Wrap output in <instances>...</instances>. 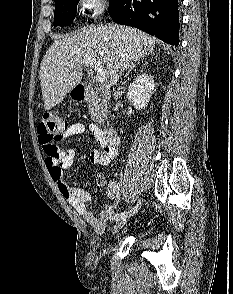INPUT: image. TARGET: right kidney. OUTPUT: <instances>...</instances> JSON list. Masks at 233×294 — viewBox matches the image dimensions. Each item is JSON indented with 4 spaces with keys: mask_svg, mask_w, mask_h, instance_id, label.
I'll use <instances>...</instances> for the list:
<instances>
[{
    "mask_svg": "<svg viewBox=\"0 0 233 294\" xmlns=\"http://www.w3.org/2000/svg\"><path fill=\"white\" fill-rule=\"evenodd\" d=\"M155 88V82L147 73L139 74L129 85L127 97L129 102L137 109L144 110Z\"/></svg>",
    "mask_w": 233,
    "mask_h": 294,
    "instance_id": "ca27d5eb",
    "label": "right kidney"
}]
</instances>
